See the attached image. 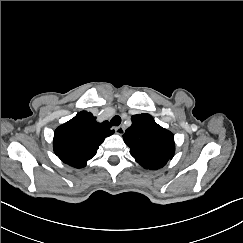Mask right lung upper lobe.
Masks as SVG:
<instances>
[{"mask_svg":"<svg viewBox=\"0 0 243 243\" xmlns=\"http://www.w3.org/2000/svg\"><path fill=\"white\" fill-rule=\"evenodd\" d=\"M113 133L107 121L97 123L90 112L81 111L55 130L54 151L64 163L82 168L96 154L104 139Z\"/></svg>","mask_w":243,"mask_h":243,"instance_id":"cb5924a9","label":"right lung upper lobe"}]
</instances>
